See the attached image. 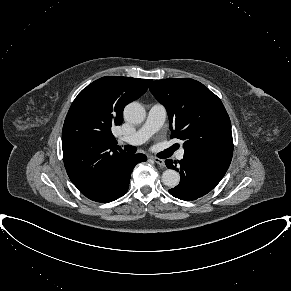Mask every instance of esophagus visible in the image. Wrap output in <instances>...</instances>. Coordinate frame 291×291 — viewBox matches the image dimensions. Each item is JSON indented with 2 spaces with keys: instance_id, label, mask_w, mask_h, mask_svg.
<instances>
[{
  "instance_id": "esophagus-1",
  "label": "esophagus",
  "mask_w": 291,
  "mask_h": 291,
  "mask_svg": "<svg viewBox=\"0 0 291 291\" xmlns=\"http://www.w3.org/2000/svg\"><path fill=\"white\" fill-rule=\"evenodd\" d=\"M151 159L158 165L160 166H164V160L163 159H160V158H157V157H151Z\"/></svg>"
}]
</instances>
